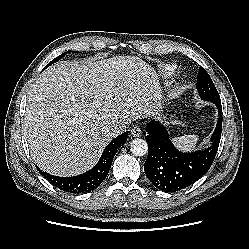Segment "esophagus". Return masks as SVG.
<instances>
[{
  "label": "esophagus",
  "mask_w": 249,
  "mask_h": 249,
  "mask_svg": "<svg viewBox=\"0 0 249 249\" xmlns=\"http://www.w3.org/2000/svg\"><path fill=\"white\" fill-rule=\"evenodd\" d=\"M141 134H142V130L138 126H135L131 129V135L133 137H139L141 136Z\"/></svg>",
  "instance_id": "34e87169"
}]
</instances>
